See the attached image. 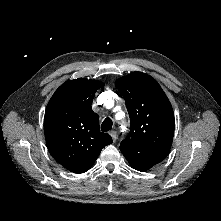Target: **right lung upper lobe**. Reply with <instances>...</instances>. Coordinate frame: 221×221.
Returning <instances> with one entry per match:
<instances>
[{
  "label": "right lung upper lobe",
  "instance_id": "obj_1",
  "mask_svg": "<svg viewBox=\"0 0 221 221\" xmlns=\"http://www.w3.org/2000/svg\"><path fill=\"white\" fill-rule=\"evenodd\" d=\"M103 87L97 80H68L47 105L44 134L48 149L71 172H86L102 148L113 142L109 134L100 132L99 116L91 107L96 91Z\"/></svg>",
  "mask_w": 221,
  "mask_h": 221
}]
</instances>
